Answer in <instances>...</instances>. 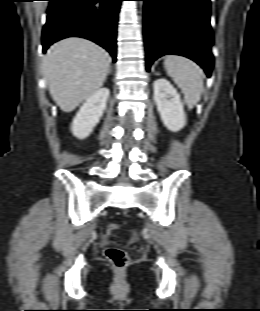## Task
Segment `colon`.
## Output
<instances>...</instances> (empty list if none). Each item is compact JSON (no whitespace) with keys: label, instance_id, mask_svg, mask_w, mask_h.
I'll return each instance as SVG.
<instances>
[{"label":"colon","instance_id":"5ec220e1","mask_svg":"<svg viewBox=\"0 0 260 311\" xmlns=\"http://www.w3.org/2000/svg\"><path fill=\"white\" fill-rule=\"evenodd\" d=\"M118 228L119 226L117 224H109L107 227V234L112 235L118 230ZM104 255L109 263L115 268L122 269L128 265V254L123 249L110 247L105 250Z\"/></svg>","mask_w":260,"mask_h":311}]
</instances>
